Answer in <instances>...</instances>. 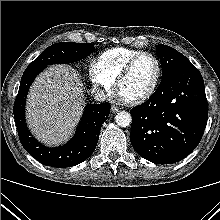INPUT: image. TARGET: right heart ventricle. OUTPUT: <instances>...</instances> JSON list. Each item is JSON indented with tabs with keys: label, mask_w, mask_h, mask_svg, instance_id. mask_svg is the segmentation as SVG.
I'll list each match as a JSON object with an SVG mask.
<instances>
[{
	"label": "right heart ventricle",
	"mask_w": 220,
	"mask_h": 220,
	"mask_svg": "<svg viewBox=\"0 0 220 220\" xmlns=\"http://www.w3.org/2000/svg\"><path fill=\"white\" fill-rule=\"evenodd\" d=\"M141 52L140 50L115 47L101 53L97 63L104 75L113 83L130 58Z\"/></svg>",
	"instance_id": "1"
}]
</instances>
